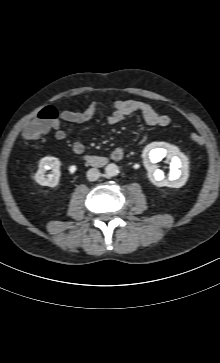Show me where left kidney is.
Listing matches in <instances>:
<instances>
[{
    "instance_id": "left-kidney-1",
    "label": "left kidney",
    "mask_w": 220,
    "mask_h": 363,
    "mask_svg": "<svg viewBox=\"0 0 220 363\" xmlns=\"http://www.w3.org/2000/svg\"><path fill=\"white\" fill-rule=\"evenodd\" d=\"M142 157L148 178L155 186L180 188L185 185L189 177V161L178 147L165 142H152L144 148ZM164 157L170 160L168 178L155 164Z\"/></svg>"
}]
</instances>
